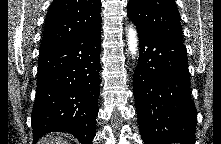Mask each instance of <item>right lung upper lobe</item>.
<instances>
[{
  "mask_svg": "<svg viewBox=\"0 0 221 144\" xmlns=\"http://www.w3.org/2000/svg\"><path fill=\"white\" fill-rule=\"evenodd\" d=\"M101 0H54L46 16L39 53L80 38L101 26Z\"/></svg>",
  "mask_w": 221,
  "mask_h": 144,
  "instance_id": "right-lung-upper-lobe-1",
  "label": "right lung upper lobe"
}]
</instances>
